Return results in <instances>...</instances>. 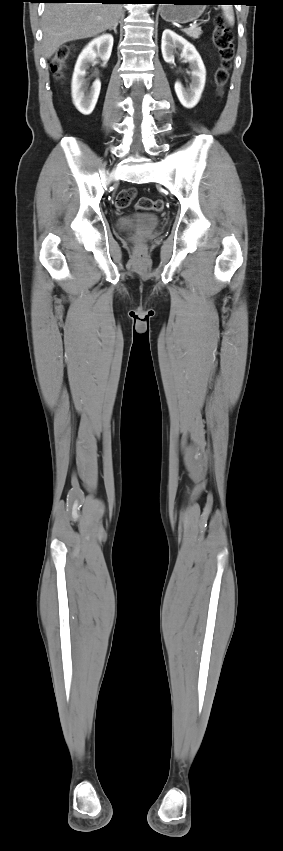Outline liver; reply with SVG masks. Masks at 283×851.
I'll return each instance as SVG.
<instances>
[{"mask_svg":"<svg viewBox=\"0 0 283 851\" xmlns=\"http://www.w3.org/2000/svg\"><path fill=\"white\" fill-rule=\"evenodd\" d=\"M121 15L120 4L48 3L42 18L45 58L67 42L94 37L114 27Z\"/></svg>","mask_w":283,"mask_h":851,"instance_id":"liver-1","label":"liver"}]
</instances>
